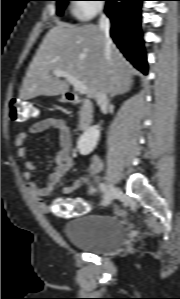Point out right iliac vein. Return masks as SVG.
<instances>
[{"mask_svg": "<svg viewBox=\"0 0 180 299\" xmlns=\"http://www.w3.org/2000/svg\"><path fill=\"white\" fill-rule=\"evenodd\" d=\"M117 194H118V189L114 185L109 184L108 190L103 199V206H108L112 202V200L116 197Z\"/></svg>", "mask_w": 180, "mask_h": 299, "instance_id": "right-iliac-vein-1", "label": "right iliac vein"}]
</instances>
